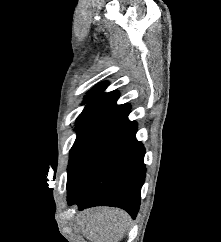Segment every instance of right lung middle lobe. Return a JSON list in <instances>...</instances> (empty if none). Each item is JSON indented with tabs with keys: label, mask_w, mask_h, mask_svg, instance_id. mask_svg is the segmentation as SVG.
Masks as SVG:
<instances>
[{
	"label": "right lung middle lobe",
	"mask_w": 221,
	"mask_h": 242,
	"mask_svg": "<svg viewBox=\"0 0 221 242\" xmlns=\"http://www.w3.org/2000/svg\"><path fill=\"white\" fill-rule=\"evenodd\" d=\"M99 126L96 125H81L78 126L76 129L78 130L77 138L75 140V143L70 151V160L73 158L76 151L79 149V147L82 145V143L97 129Z\"/></svg>",
	"instance_id": "dd1d6c3e"
}]
</instances>
